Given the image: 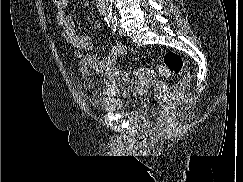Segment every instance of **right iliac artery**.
<instances>
[{
	"mask_svg": "<svg viewBox=\"0 0 243 182\" xmlns=\"http://www.w3.org/2000/svg\"><path fill=\"white\" fill-rule=\"evenodd\" d=\"M108 26L113 30L114 32L117 30V23H110Z\"/></svg>",
	"mask_w": 243,
	"mask_h": 182,
	"instance_id": "obj_1",
	"label": "right iliac artery"
}]
</instances>
